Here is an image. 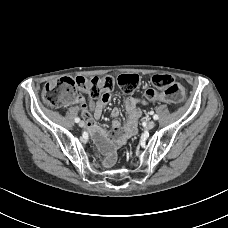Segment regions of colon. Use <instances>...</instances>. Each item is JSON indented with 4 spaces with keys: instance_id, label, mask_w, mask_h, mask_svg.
Segmentation results:
<instances>
[{
    "instance_id": "5ec220e1",
    "label": "colon",
    "mask_w": 228,
    "mask_h": 228,
    "mask_svg": "<svg viewBox=\"0 0 228 228\" xmlns=\"http://www.w3.org/2000/svg\"><path fill=\"white\" fill-rule=\"evenodd\" d=\"M115 83L127 94L134 92L139 85V77L136 74H122L116 80L113 77H92L86 78L78 76L63 77L48 82L42 91V100L49 107H59L65 104L80 101L79 92L87 93L96 99L103 94L113 90ZM156 92L153 89L146 91L148 99H160L163 101L176 103L181 101L186 93L185 87L177 83L171 75L157 74L152 77Z\"/></svg>"
}]
</instances>
